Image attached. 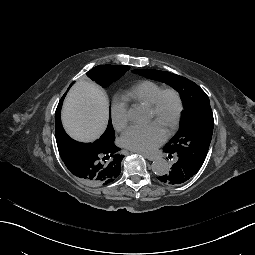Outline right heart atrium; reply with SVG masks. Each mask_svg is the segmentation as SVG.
I'll return each instance as SVG.
<instances>
[{
    "label": "right heart atrium",
    "mask_w": 255,
    "mask_h": 255,
    "mask_svg": "<svg viewBox=\"0 0 255 255\" xmlns=\"http://www.w3.org/2000/svg\"><path fill=\"white\" fill-rule=\"evenodd\" d=\"M109 116L116 131H122L129 123V114L125 105L120 101H113L110 106Z\"/></svg>",
    "instance_id": "1"
}]
</instances>
